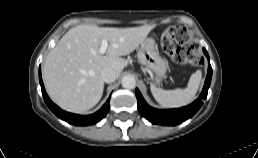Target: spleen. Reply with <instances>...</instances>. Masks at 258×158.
<instances>
[{
    "label": "spleen",
    "mask_w": 258,
    "mask_h": 158,
    "mask_svg": "<svg viewBox=\"0 0 258 158\" xmlns=\"http://www.w3.org/2000/svg\"><path fill=\"white\" fill-rule=\"evenodd\" d=\"M201 78L202 72L200 70H197L191 75L186 88L163 90L154 85H151V93L155 100L163 107L177 108L185 106L194 100L201 82Z\"/></svg>",
    "instance_id": "spleen-1"
}]
</instances>
